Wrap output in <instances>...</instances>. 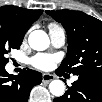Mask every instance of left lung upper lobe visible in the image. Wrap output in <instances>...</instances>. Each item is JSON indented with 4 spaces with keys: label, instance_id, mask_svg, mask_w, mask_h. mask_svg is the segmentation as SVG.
<instances>
[{
    "label": "left lung upper lobe",
    "instance_id": "obj_1",
    "mask_svg": "<svg viewBox=\"0 0 102 102\" xmlns=\"http://www.w3.org/2000/svg\"><path fill=\"white\" fill-rule=\"evenodd\" d=\"M61 23L68 37L66 58L57 72L102 77V22L81 11H45Z\"/></svg>",
    "mask_w": 102,
    "mask_h": 102
}]
</instances>
